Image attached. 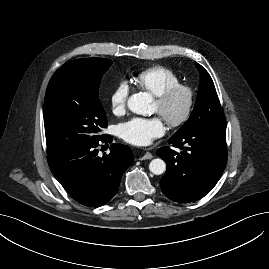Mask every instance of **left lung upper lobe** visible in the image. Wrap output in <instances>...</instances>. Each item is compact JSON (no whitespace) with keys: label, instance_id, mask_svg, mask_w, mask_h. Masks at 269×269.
I'll return each mask as SVG.
<instances>
[{"label":"left lung upper lobe","instance_id":"5c2ea615","mask_svg":"<svg viewBox=\"0 0 269 269\" xmlns=\"http://www.w3.org/2000/svg\"><path fill=\"white\" fill-rule=\"evenodd\" d=\"M195 65L200 74L196 103L189 119L172 137L185 133L194 127L226 124L224 112L210 75L200 64L195 62Z\"/></svg>","mask_w":269,"mask_h":269}]
</instances>
